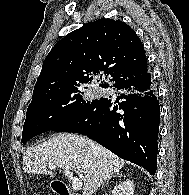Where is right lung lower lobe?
Here are the masks:
<instances>
[{"label": "right lung lower lobe", "mask_w": 189, "mask_h": 195, "mask_svg": "<svg viewBox=\"0 0 189 195\" xmlns=\"http://www.w3.org/2000/svg\"><path fill=\"white\" fill-rule=\"evenodd\" d=\"M110 87L118 91L116 98L97 99L53 131L86 135L154 175L160 106L147 66L133 77L114 81Z\"/></svg>", "instance_id": "obj_1"}]
</instances>
